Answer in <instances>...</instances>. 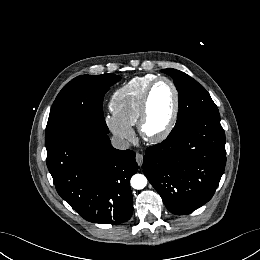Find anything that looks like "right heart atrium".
<instances>
[{"label": "right heart atrium", "instance_id": "right-heart-atrium-1", "mask_svg": "<svg viewBox=\"0 0 260 260\" xmlns=\"http://www.w3.org/2000/svg\"><path fill=\"white\" fill-rule=\"evenodd\" d=\"M105 121L111 132L120 140L130 142L134 139L132 127L121 121L114 114L107 115Z\"/></svg>", "mask_w": 260, "mask_h": 260}]
</instances>
